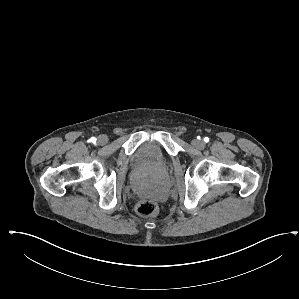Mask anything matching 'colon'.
Wrapping results in <instances>:
<instances>
[{
	"instance_id": "obj_1",
	"label": "colon",
	"mask_w": 299,
	"mask_h": 299,
	"mask_svg": "<svg viewBox=\"0 0 299 299\" xmlns=\"http://www.w3.org/2000/svg\"><path fill=\"white\" fill-rule=\"evenodd\" d=\"M136 211L142 217H153L158 213V205L152 200H142L137 204Z\"/></svg>"
}]
</instances>
